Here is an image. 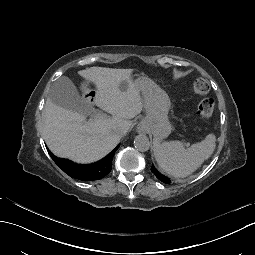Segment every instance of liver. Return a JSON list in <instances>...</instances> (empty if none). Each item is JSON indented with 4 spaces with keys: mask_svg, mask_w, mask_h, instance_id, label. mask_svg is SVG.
<instances>
[{
    "mask_svg": "<svg viewBox=\"0 0 255 255\" xmlns=\"http://www.w3.org/2000/svg\"><path fill=\"white\" fill-rule=\"evenodd\" d=\"M132 69L91 67L78 74L96 85L94 104L112 114V118L99 117L85 122V116L78 112L55 105L47 98L43 113V138L49 150L61 158L76 163L96 162L110 153L120 141L115 128L123 121L137 116L148 99L157 96L160 112L167 115L165 108L169 97L155 83L145 86L134 83ZM127 83L122 91L121 84ZM144 93V100L140 96ZM130 124L131 122L128 121Z\"/></svg>",
    "mask_w": 255,
    "mask_h": 255,
    "instance_id": "obj_1",
    "label": "liver"
}]
</instances>
